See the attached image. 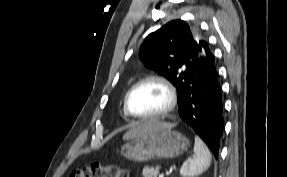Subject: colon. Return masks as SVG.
<instances>
[{
  "label": "colon",
  "instance_id": "1",
  "mask_svg": "<svg viewBox=\"0 0 287 177\" xmlns=\"http://www.w3.org/2000/svg\"><path fill=\"white\" fill-rule=\"evenodd\" d=\"M70 177H129L128 172L115 163H94L82 169H76Z\"/></svg>",
  "mask_w": 287,
  "mask_h": 177
}]
</instances>
